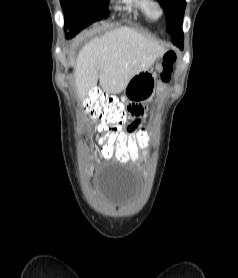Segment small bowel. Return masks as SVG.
Masks as SVG:
<instances>
[{
  "mask_svg": "<svg viewBox=\"0 0 238 278\" xmlns=\"http://www.w3.org/2000/svg\"><path fill=\"white\" fill-rule=\"evenodd\" d=\"M144 112H145V108L142 105H134L130 107L132 121L124 130V131H128V136H121V137H135L136 130H139L138 128L141 125V116L144 114Z\"/></svg>",
  "mask_w": 238,
  "mask_h": 278,
  "instance_id": "c3829d8e",
  "label": "small bowel"
}]
</instances>
